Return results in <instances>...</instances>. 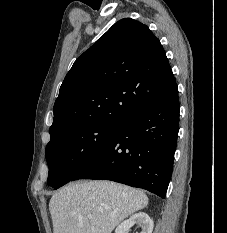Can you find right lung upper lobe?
I'll list each match as a JSON object with an SVG mask.
<instances>
[{"mask_svg": "<svg viewBox=\"0 0 227 233\" xmlns=\"http://www.w3.org/2000/svg\"><path fill=\"white\" fill-rule=\"evenodd\" d=\"M175 84L159 39L146 25L121 19L67 73L54 104L51 138L82 125L120 123Z\"/></svg>", "mask_w": 227, "mask_h": 233, "instance_id": "cb5924a9", "label": "right lung upper lobe"}]
</instances>
